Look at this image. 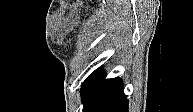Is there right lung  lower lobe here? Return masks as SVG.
Wrapping results in <instances>:
<instances>
[{
	"mask_svg": "<svg viewBox=\"0 0 193 112\" xmlns=\"http://www.w3.org/2000/svg\"><path fill=\"white\" fill-rule=\"evenodd\" d=\"M120 78L105 79L102 69H97L81 87L83 112H128V100Z\"/></svg>",
	"mask_w": 193,
	"mask_h": 112,
	"instance_id": "1",
	"label": "right lung lower lobe"
}]
</instances>
